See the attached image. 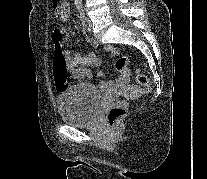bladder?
<instances>
[{"instance_id": "31cf9c89", "label": "bladder", "mask_w": 207, "mask_h": 179, "mask_svg": "<svg viewBox=\"0 0 207 179\" xmlns=\"http://www.w3.org/2000/svg\"><path fill=\"white\" fill-rule=\"evenodd\" d=\"M60 118L75 127L92 125L101 108V95L87 83H76L66 87L57 97Z\"/></svg>"}]
</instances>
